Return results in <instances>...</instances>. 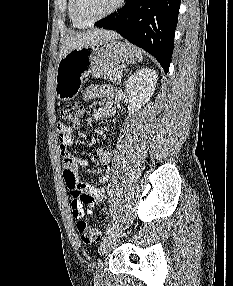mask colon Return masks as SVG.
Masks as SVG:
<instances>
[{
    "label": "colon",
    "instance_id": "5ec220e1",
    "mask_svg": "<svg viewBox=\"0 0 233 286\" xmlns=\"http://www.w3.org/2000/svg\"><path fill=\"white\" fill-rule=\"evenodd\" d=\"M84 107L80 102H72L61 109V117L73 127L81 124ZM77 231L85 244L96 243L100 239V231L91 227L84 219L79 218L76 223Z\"/></svg>",
    "mask_w": 233,
    "mask_h": 286
}]
</instances>
